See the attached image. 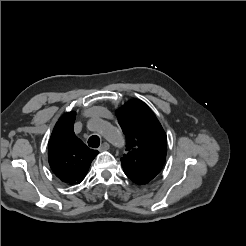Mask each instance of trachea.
<instances>
[{"label": "trachea", "instance_id": "obj_1", "mask_svg": "<svg viewBox=\"0 0 246 246\" xmlns=\"http://www.w3.org/2000/svg\"><path fill=\"white\" fill-rule=\"evenodd\" d=\"M88 145L92 148H97L100 145V139L97 135H93L88 139Z\"/></svg>", "mask_w": 246, "mask_h": 246}]
</instances>
